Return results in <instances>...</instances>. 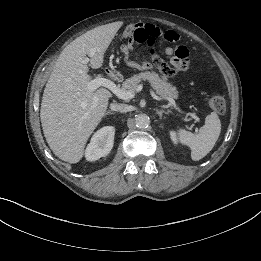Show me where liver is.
<instances>
[{
	"label": "liver",
	"instance_id": "obj_1",
	"mask_svg": "<svg viewBox=\"0 0 261 261\" xmlns=\"http://www.w3.org/2000/svg\"><path fill=\"white\" fill-rule=\"evenodd\" d=\"M116 30L104 25L76 38L61 52L47 81L40 118L49 147L63 161L81 160L87 140L105 115L112 94L105 88H87V64L93 69L102 66Z\"/></svg>",
	"mask_w": 261,
	"mask_h": 261
}]
</instances>
